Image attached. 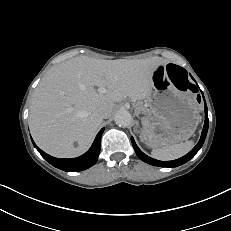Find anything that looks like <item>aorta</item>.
Masks as SVG:
<instances>
[{
    "label": "aorta",
    "mask_w": 231,
    "mask_h": 231,
    "mask_svg": "<svg viewBox=\"0 0 231 231\" xmlns=\"http://www.w3.org/2000/svg\"><path fill=\"white\" fill-rule=\"evenodd\" d=\"M114 121L120 127H127L131 124L132 116L128 111L120 110L115 114Z\"/></svg>",
    "instance_id": "aorta-1"
}]
</instances>
